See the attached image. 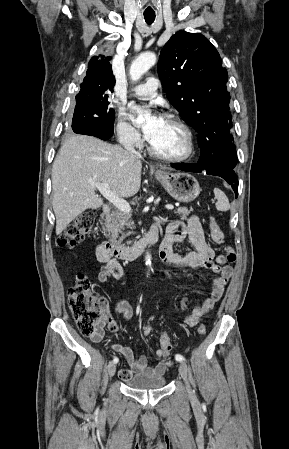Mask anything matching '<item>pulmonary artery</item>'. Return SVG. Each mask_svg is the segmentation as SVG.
Returning <instances> with one entry per match:
<instances>
[{"label": "pulmonary artery", "instance_id": "obj_1", "mask_svg": "<svg viewBox=\"0 0 289 449\" xmlns=\"http://www.w3.org/2000/svg\"><path fill=\"white\" fill-rule=\"evenodd\" d=\"M160 82L155 77H150L144 84H140L133 89V94L142 99H150L156 96Z\"/></svg>", "mask_w": 289, "mask_h": 449}]
</instances>
